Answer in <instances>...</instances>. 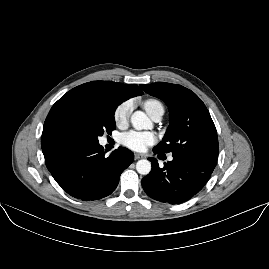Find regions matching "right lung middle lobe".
Returning a JSON list of instances; mask_svg holds the SVG:
<instances>
[{
  "label": "right lung middle lobe",
  "instance_id": "obj_1",
  "mask_svg": "<svg viewBox=\"0 0 269 269\" xmlns=\"http://www.w3.org/2000/svg\"><path fill=\"white\" fill-rule=\"evenodd\" d=\"M116 108L107 102L66 100L53 105L44 125L64 129L82 142H98L104 132L111 134L116 128Z\"/></svg>",
  "mask_w": 269,
  "mask_h": 269
}]
</instances>
